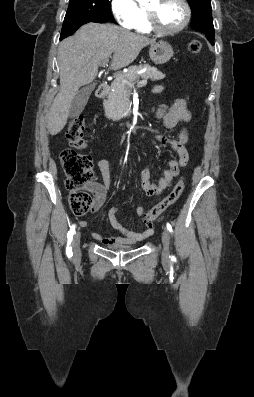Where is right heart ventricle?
I'll use <instances>...</instances> for the list:
<instances>
[{
    "instance_id": "right-heart-ventricle-1",
    "label": "right heart ventricle",
    "mask_w": 254,
    "mask_h": 397,
    "mask_svg": "<svg viewBox=\"0 0 254 397\" xmlns=\"http://www.w3.org/2000/svg\"><path fill=\"white\" fill-rule=\"evenodd\" d=\"M134 29H136L140 33H149L151 31L147 23L146 12L142 8H141V17L138 23L136 24V26L134 27Z\"/></svg>"
}]
</instances>
